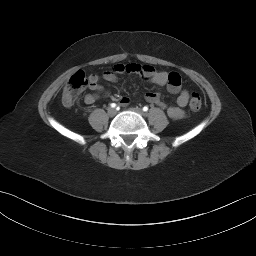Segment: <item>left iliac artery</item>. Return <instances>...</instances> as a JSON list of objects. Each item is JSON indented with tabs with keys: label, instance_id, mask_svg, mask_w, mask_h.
I'll return each instance as SVG.
<instances>
[{
	"label": "left iliac artery",
	"instance_id": "1",
	"mask_svg": "<svg viewBox=\"0 0 256 256\" xmlns=\"http://www.w3.org/2000/svg\"><path fill=\"white\" fill-rule=\"evenodd\" d=\"M143 111H145V112L148 111V107H147V106H144V107H143Z\"/></svg>",
	"mask_w": 256,
	"mask_h": 256
}]
</instances>
